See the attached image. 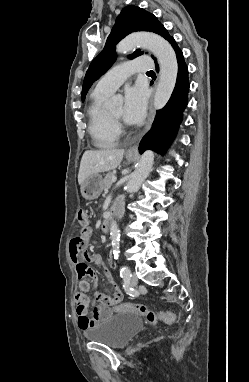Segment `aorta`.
<instances>
[{"label":"aorta","mask_w":249,"mask_h":382,"mask_svg":"<svg viewBox=\"0 0 249 382\" xmlns=\"http://www.w3.org/2000/svg\"><path fill=\"white\" fill-rule=\"evenodd\" d=\"M137 46L149 49L157 57L160 64V77L154 97V107L163 108L171 97L174 90L177 74L178 62L174 49L168 41L153 33H136L127 36L117 45L118 53H126ZM154 163V153L151 150L145 151L132 173L126 185L127 192H136L141 184L148 177ZM110 238L114 253L119 252L120 230L115 221L110 225Z\"/></svg>","instance_id":"762f6f07"}]
</instances>
